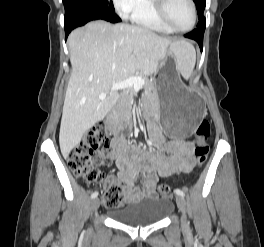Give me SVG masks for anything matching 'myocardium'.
<instances>
[{
    "label": "myocardium",
    "instance_id": "1",
    "mask_svg": "<svg viewBox=\"0 0 264 247\" xmlns=\"http://www.w3.org/2000/svg\"><path fill=\"white\" fill-rule=\"evenodd\" d=\"M153 1V9L157 17L167 26L169 27L172 31L174 32H186L191 30L197 21V9H196V4L194 0H188L191 10H192V21L188 27L185 28H179L176 27L171 23L169 20L167 14H166V2L167 0H152Z\"/></svg>",
    "mask_w": 264,
    "mask_h": 247
}]
</instances>
